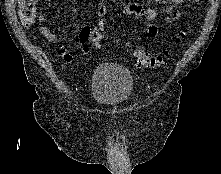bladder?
<instances>
[{
	"label": "bladder",
	"mask_w": 221,
	"mask_h": 174,
	"mask_svg": "<svg viewBox=\"0 0 221 174\" xmlns=\"http://www.w3.org/2000/svg\"><path fill=\"white\" fill-rule=\"evenodd\" d=\"M134 80L125 67L106 63L98 66L92 76V97L100 105L117 107L133 93Z\"/></svg>",
	"instance_id": "bladder-1"
}]
</instances>
